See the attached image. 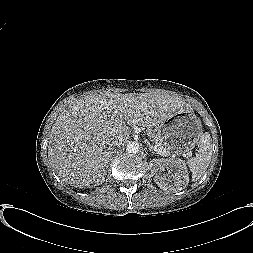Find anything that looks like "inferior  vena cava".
<instances>
[{
    "mask_svg": "<svg viewBox=\"0 0 253 253\" xmlns=\"http://www.w3.org/2000/svg\"><path fill=\"white\" fill-rule=\"evenodd\" d=\"M119 143H121V142H120V140L117 139V140H114V141L112 142L111 145H112V147H115V146H117Z\"/></svg>",
    "mask_w": 253,
    "mask_h": 253,
    "instance_id": "602c4592",
    "label": "inferior vena cava"
}]
</instances>
